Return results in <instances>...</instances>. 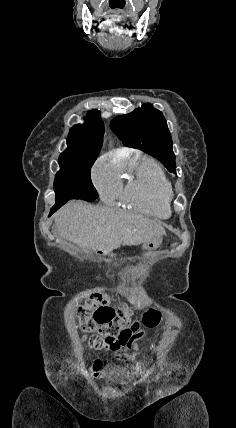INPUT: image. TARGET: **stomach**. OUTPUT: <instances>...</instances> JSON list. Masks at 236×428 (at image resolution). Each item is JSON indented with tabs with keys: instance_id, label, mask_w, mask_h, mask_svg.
I'll return each mask as SVG.
<instances>
[{
	"instance_id": "1",
	"label": "stomach",
	"mask_w": 236,
	"mask_h": 428,
	"mask_svg": "<svg viewBox=\"0 0 236 428\" xmlns=\"http://www.w3.org/2000/svg\"><path fill=\"white\" fill-rule=\"evenodd\" d=\"M162 238H154L152 242H144L143 244V250H156L158 248L159 244H161Z\"/></svg>"
}]
</instances>
